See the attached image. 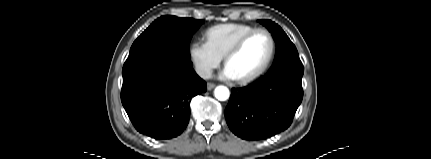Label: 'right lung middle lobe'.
<instances>
[{"label":"right lung middle lobe","instance_id":"1","mask_svg":"<svg viewBox=\"0 0 431 159\" xmlns=\"http://www.w3.org/2000/svg\"><path fill=\"white\" fill-rule=\"evenodd\" d=\"M202 23L203 20L178 18L170 15L162 16L156 19L135 40L129 55L149 47L161 46L172 49L190 59V40Z\"/></svg>","mask_w":431,"mask_h":159}]
</instances>
